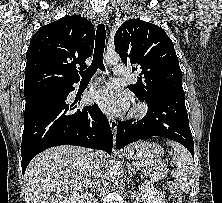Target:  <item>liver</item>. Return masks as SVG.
Here are the masks:
<instances>
[{
    "mask_svg": "<svg viewBox=\"0 0 222 203\" xmlns=\"http://www.w3.org/2000/svg\"><path fill=\"white\" fill-rule=\"evenodd\" d=\"M94 160L104 161L105 154L70 145L38 154L25 172L30 203H67L78 196L90 182Z\"/></svg>",
    "mask_w": 222,
    "mask_h": 203,
    "instance_id": "liver-1",
    "label": "liver"
}]
</instances>
